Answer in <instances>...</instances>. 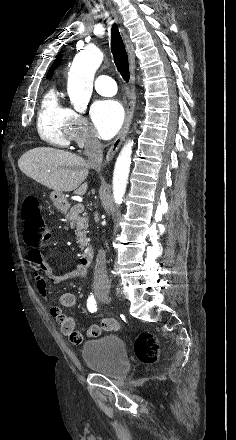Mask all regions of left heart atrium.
<instances>
[{
	"instance_id": "1",
	"label": "left heart atrium",
	"mask_w": 236,
	"mask_h": 440,
	"mask_svg": "<svg viewBox=\"0 0 236 440\" xmlns=\"http://www.w3.org/2000/svg\"><path fill=\"white\" fill-rule=\"evenodd\" d=\"M92 118L98 136L110 139L124 122V109L116 100H101L93 105Z\"/></svg>"
}]
</instances>
